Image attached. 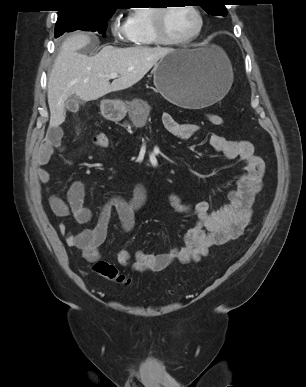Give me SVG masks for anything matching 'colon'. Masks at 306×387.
Masks as SVG:
<instances>
[{"instance_id": "obj_1", "label": "colon", "mask_w": 306, "mask_h": 387, "mask_svg": "<svg viewBox=\"0 0 306 387\" xmlns=\"http://www.w3.org/2000/svg\"><path fill=\"white\" fill-rule=\"evenodd\" d=\"M208 120L215 126H221L224 124V119L217 114H209ZM94 143L100 148H107L110 144V140L105 133H98L94 137ZM93 270L108 280L122 286H130L132 284V280L120 273L117 267L112 263L98 260L93 264Z\"/></svg>"}]
</instances>
